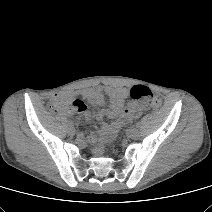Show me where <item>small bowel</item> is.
<instances>
[{"mask_svg":"<svg viewBox=\"0 0 212 212\" xmlns=\"http://www.w3.org/2000/svg\"><path fill=\"white\" fill-rule=\"evenodd\" d=\"M81 96L98 109L96 113L97 120L103 121L105 118H117L112 124H102L99 133L102 138H107L121 127L130 124L147 108V105L144 103L125 104L127 92L122 88L111 86L88 88L81 92ZM56 98L69 99V97L66 96H57ZM107 98L109 100L108 107H106ZM80 112H82L86 118H89L90 115L85 109ZM87 137L91 142L97 140V136L93 131H88Z\"/></svg>","mask_w":212,"mask_h":212,"instance_id":"1","label":"small bowel"}]
</instances>
